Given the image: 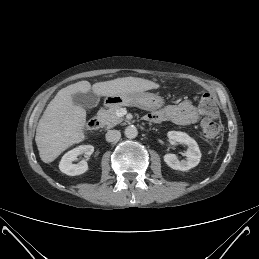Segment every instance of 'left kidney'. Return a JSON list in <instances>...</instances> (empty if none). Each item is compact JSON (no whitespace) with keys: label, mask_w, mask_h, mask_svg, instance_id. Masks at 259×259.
<instances>
[{"label":"left kidney","mask_w":259,"mask_h":259,"mask_svg":"<svg viewBox=\"0 0 259 259\" xmlns=\"http://www.w3.org/2000/svg\"><path fill=\"white\" fill-rule=\"evenodd\" d=\"M168 137L170 140L182 143L188 146L185 152L186 160H179L175 154L164 155L165 163L174 170L187 171L200 162L201 152L196 141L188 134L180 131H169Z\"/></svg>","instance_id":"left-kidney-1"}]
</instances>
